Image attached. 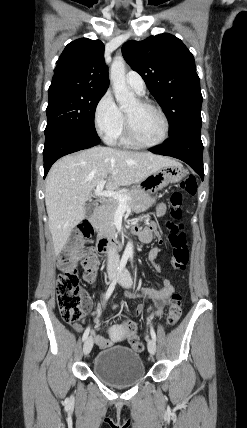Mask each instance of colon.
Instances as JSON below:
<instances>
[{
  "instance_id": "colon-1",
  "label": "colon",
  "mask_w": 247,
  "mask_h": 428,
  "mask_svg": "<svg viewBox=\"0 0 247 428\" xmlns=\"http://www.w3.org/2000/svg\"><path fill=\"white\" fill-rule=\"evenodd\" d=\"M197 192V182L191 175L187 176L179 185L170 198L172 206L171 215L174 219L169 222L167 227L169 230V242L172 247V266L181 273L185 270L189 260V253L187 249V237L182 231V225L176 221L181 217V205L185 195L194 196ZM77 233L84 239L92 236V227L84 222L77 227ZM77 240H74L73 247L64 249L59 254V263L61 272L57 279V301L59 310L63 320L67 323H74L78 321L84 312V290L79 282L78 272L74 266L76 258L75 245ZM84 268L88 270L91 276L95 275L97 261L95 257L88 255L82 260ZM143 304L136 303L135 310H125V315L131 317H140L145 312ZM167 309V302L163 299L156 300V306L153 307L155 319H160L164 316V310ZM182 315V297L179 293H174L171 297V302L166 317V326H174ZM124 330L129 335V346L136 351H142L144 345L139 341L140 336L136 332L139 327L133 323L132 318L125 319Z\"/></svg>"
}]
</instances>
